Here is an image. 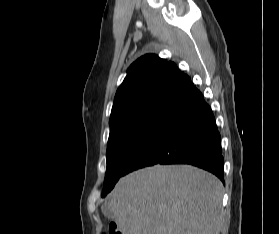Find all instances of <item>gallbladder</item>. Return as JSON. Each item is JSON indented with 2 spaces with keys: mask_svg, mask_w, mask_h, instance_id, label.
<instances>
[{
  "mask_svg": "<svg viewBox=\"0 0 279 234\" xmlns=\"http://www.w3.org/2000/svg\"><path fill=\"white\" fill-rule=\"evenodd\" d=\"M102 211H103L104 215H105L107 218H109V219H114V214H113V212H111V211L107 208L106 204H105L104 207L102 208Z\"/></svg>",
  "mask_w": 279,
  "mask_h": 234,
  "instance_id": "1",
  "label": "gallbladder"
}]
</instances>
